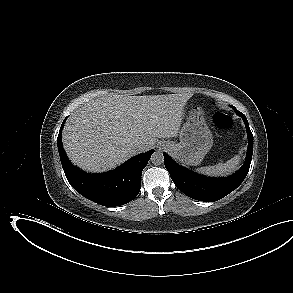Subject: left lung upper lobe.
<instances>
[{
    "label": "left lung upper lobe",
    "instance_id": "1",
    "mask_svg": "<svg viewBox=\"0 0 293 293\" xmlns=\"http://www.w3.org/2000/svg\"><path fill=\"white\" fill-rule=\"evenodd\" d=\"M232 107H233V106H232ZM233 108H234L235 111H237L235 107H233Z\"/></svg>",
    "mask_w": 293,
    "mask_h": 293
}]
</instances>
